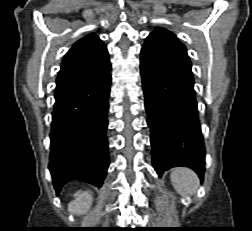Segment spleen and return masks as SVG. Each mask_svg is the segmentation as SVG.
<instances>
[{
    "mask_svg": "<svg viewBox=\"0 0 252 231\" xmlns=\"http://www.w3.org/2000/svg\"><path fill=\"white\" fill-rule=\"evenodd\" d=\"M170 179L175 190L183 197L193 195L200 184L196 173L185 167L174 168Z\"/></svg>",
    "mask_w": 252,
    "mask_h": 231,
    "instance_id": "3e777b00",
    "label": "spleen"
}]
</instances>
